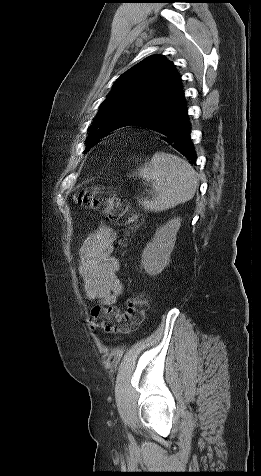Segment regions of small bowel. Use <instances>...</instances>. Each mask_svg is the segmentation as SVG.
<instances>
[{"label":"small bowel","mask_w":261,"mask_h":476,"mask_svg":"<svg viewBox=\"0 0 261 476\" xmlns=\"http://www.w3.org/2000/svg\"><path fill=\"white\" fill-rule=\"evenodd\" d=\"M117 232L101 225L87 237L79 251V274L88 299L111 306L123 291L117 276L118 259L114 256Z\"/></svg>","instance_id":"small-bowel-1"}]
</instances>
